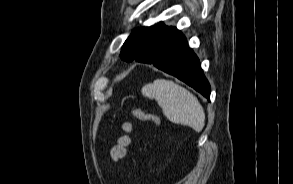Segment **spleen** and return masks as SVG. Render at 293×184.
Returning a JSON list of instances; mask_svg holds the SVG:
<instances>
[{
    "instance_id": "obj_1",
    "label": "spleen",
    "mask_w": 293,
    "mask_h": 184,
    "mask_svg": "<svg viewBox=\"0 0 293 184\" xmlns=\"http://www.w3.org/2000/svg\"><path fill=\"white\" fill-rule=\"evenodd\" d=\"M141 92L143 96L157 101L169 121L202 131L205 125L204 109L186 88L171 80L156 79L146 84Z\"/></svg>"
}]
</instances>
